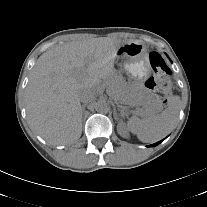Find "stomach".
I'll use <instances>...</instances> for the list:
<instances>
[{"label": "stomach", "instance_id": "1", "mask_svg": "<svg viewBox=\"0 0 207 207\" xmlns=\"http://www.w3.org/2000/svg\"><path fill=\"white\" fill-rule=\"evenodd\" d=\"M117 59H121L124 71L133 78L142 81L149 76L150 63L148 51L144 44L130 42L123 44L116 53ZM119 101L125 108L140 107L146 103V93L143 89L129 90L119 79Z\"/></svg>", "mask_w": 207, "mask_h": 207}]
</instances>
